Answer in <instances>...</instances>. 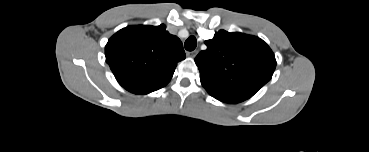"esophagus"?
<instances>
[{"instance_id": "34e87169", "label": "esophagus", "mask_w": 369, "mask_h": 152, "mask_svg": "<svg viewBox=\"0 0 369 152\" xmlns=\"http://www.w3.org/2000/svg\"><path fill=\"white\" fill-rule=\"evenodd\" d=\"M198 54V50H193L191 52H188L187 55L191 58H195Z\"/></svg>"}]
</instances>
